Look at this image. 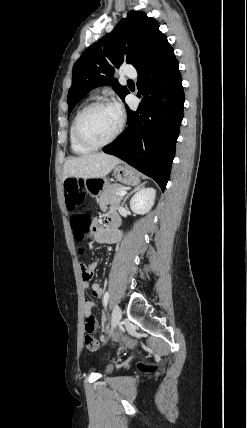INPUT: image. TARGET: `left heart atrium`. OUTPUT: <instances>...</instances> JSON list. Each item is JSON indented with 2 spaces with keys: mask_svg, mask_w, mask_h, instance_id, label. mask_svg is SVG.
<instances>
[{
  "mask_svg": "<svg viewBox=\"0 0 247 428\" xmlns=\"http://www.w3.org/2000/svg\"><path fill=\"white\" fill-rule=\"evenodd\" d=\"M112 110L114 111L115 115L117 116V118H121L122 116V110H121V106L118 103H114L111 106Z\"/></svg>",
  "mask_w": 247,
  "mask_h": 428,
  "instance_id": "39dd6f15",
  "label": "left heart atrium"
}]
</instances>
